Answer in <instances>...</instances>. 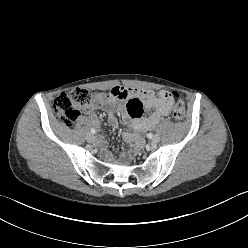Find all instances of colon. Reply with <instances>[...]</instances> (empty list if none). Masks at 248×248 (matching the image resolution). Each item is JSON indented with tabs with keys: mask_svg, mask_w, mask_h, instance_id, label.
I'll return each instance as SVG.
<instances>
[{
	"mask_svg": "<svg viewBox=\"0 0 248 248\" xmlns=\"http://www.w3.org/2000/svg\"><path fill=\"white\" fill-rule=\"evenodd\" d=\"M162 95L173 102V116L176 120H183L185 108L181 96L176 92L162 91ZM96 96L85 89H76L69 93L59 94L54 103L53 110L66 126H72L80 116L81 110L94 104Z\"/></svg>",
	"mask_w": 248,
	"mask_h": 248,
	"instance_id": "1",
	"label": "colon"
}]
</instances>
